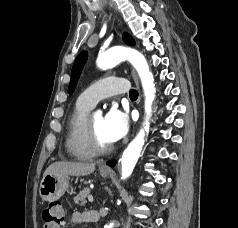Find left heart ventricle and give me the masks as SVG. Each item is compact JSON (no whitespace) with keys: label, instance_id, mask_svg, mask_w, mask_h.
Returning a JSON list of instances; mask_svg holds the SVG:
<instances>
[{"label":"left heart ventricle","instance_id":"obj_1","mask_svg":"<svg viewBox=\"0 0 238 228\" xmlns=\"http://www.w3.org/2000/svg\"><path fill=\"white\" fill-rule=\"evenodd\" d=\"M91 123L98 137L99 142L102 145H110L111 142L106 138L104 134L103 118L101 116L92 117Z\"/></svg>","mask_w":238,"mask_h":228}]
</instances>
